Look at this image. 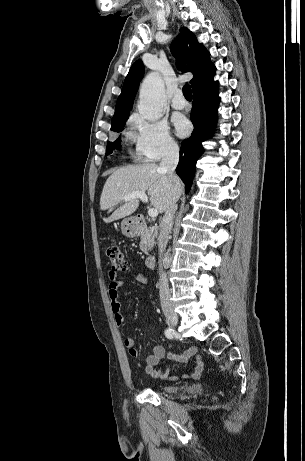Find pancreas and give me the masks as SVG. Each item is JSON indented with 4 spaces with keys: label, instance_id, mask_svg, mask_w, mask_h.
<instances>
[{
    "label": "pancreas",
    "instance_id": "cf45deb5",
    "mask_svg": "<svg viewBox=\"0 0 305 461\" xmlns=\"http://www.w3.org/2000/svg\"><path fill=\"white\" fill-rule=\"evenodd\" d=\"M158 228L156 226L150 227L141 234L140 249L148 254L152 250L155 244V238L157 236Z\"/></svg>",
    "mask_w": 305,
    "mask_h": 461
}]
</instances>
